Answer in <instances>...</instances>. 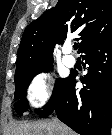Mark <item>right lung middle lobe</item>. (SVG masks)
I'll list each match as a JSON object with an SVG mask.
<instances>
[{
  "mask_svg": "<svg viewBox=\"0 0 112 135\" xmlns=\"http://www.w3.org/2000/svg\"><path fill=\"white\" fill-rule=\"evenodd\" d=\"M53 68L52 62L45 65L43 68H41L40 70H38L37 72L34 73H29V74H22V75H18L15 76V100H18L17 103H15L14 107L16 112L19 115H22L23 112L28 111L29 109V105L28 102L26 100V95H27V88L31 82V80L33 79V77L41 72H49L51 69ZM65 79H57L56 83H55V87L53 90V94L49 100L48 103H50L51 101L54 100V98L56 97L62 83L64 82ZM47 103V104H48ZM37 112L39 113L40 110H37Z\"/></svg>",
  "mask_w": 112,
  "mask_h": 135,
  "instance_id": "right-lung-middle-lobe-1",
  "label": "right lung middle lobe"
}]
</instances>
